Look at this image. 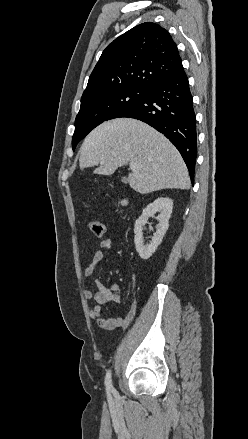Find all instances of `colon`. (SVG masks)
Here are the masks:
<instances>
[{
	"mask_svg": "<svg viewBox=\"0 0 248 439\" xmlns=\"http://www.w3.org/2000/svg\"><path fill=\"white\" fill-rule=\"evenodd\" d=\"M89 229L91 233L98 238L102 237L105 232L104 224L97 218H94L89 222Z\"/></svg>",
	"mask_w": 248,
	"mask_h": 439,
	"instance_id": "5ec220e1",
	"label": "colon"
}]
</instances>
